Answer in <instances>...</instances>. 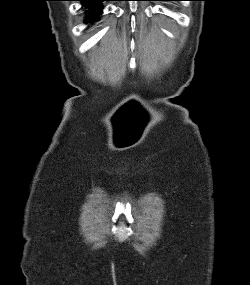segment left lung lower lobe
Returning <instances> with one entry per match:
<instances>
[{"mask_svg": "<svg viewBox=\"0 0 250 285\" xmlns=\"http://www.w3.org/2000/svg\"><path fill=\"white\" fill-rule=\"evenodd\" d=\"M163 1H179V0H163Z\"/></svg>", "mask_w": 250, "mask_h": 285, "instance_id": "left-lung-lower-lobe-1", "label": "left lung lower lobe"}]
</instances>
